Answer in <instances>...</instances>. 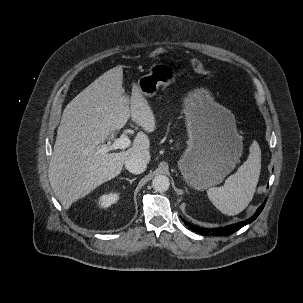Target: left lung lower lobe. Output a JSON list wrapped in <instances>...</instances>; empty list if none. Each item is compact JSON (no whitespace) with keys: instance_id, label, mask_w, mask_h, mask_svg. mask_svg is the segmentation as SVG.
<instances>
[{"instance_id":"1","label":"left lung lower lobe","mask_w":303,"mask_h":303,"mask_svg":"<svg viewBox=\"0 0 303 303\" xmlns=\"http://www.w3.org/2000/svg\"><path fill=\"white\" fill-rule=\"evenodd\" d=\"M265 202L257 209L256 213L254 214V216L252 218L247 219L242 222H238L236 224L225 226V227L207 229V228H201V227H197L195 225H191L190 223H188L186 221H184V222L188 226L189 229H191L192 231L199 233L201 235H206V236L211 235V234L217 235V236L230 235V234H233L234 232L238 231L243 226H245V225L251 223L253 220H255L257 218V216L263 210Z\"/></svg>"}]
</instances>
